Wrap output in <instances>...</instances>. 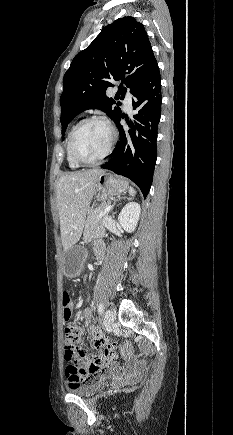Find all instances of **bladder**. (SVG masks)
Here are the masks:
<instances>
[{
	"instance_id": "obj_1",
	"label": "bladder",
	"mask_w": 233,
	"mask_h": 435,
	"mask_svg": "<svg viewBox=\"0 0 233 435\" xmlns=\"http://www.w3.org/2000/svg\"><path fill=\"white\" fill-rule=\"evenodd\" d=\"M106 379H107L106 377L102 379H97L91 383L84 384V385H74L71 383H67L66 390L71 394L90 396L93 394L94 391H96L104 384Z\"/></svg>"
}]
</instances>
